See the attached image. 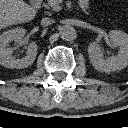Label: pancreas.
I'll return each instance as SVG.
<instances>
[{
	"label": "pancreas",
	"instance_id": "pancreas-1",
	"mask_svg": "<svg viewBox=\"0 0 128 128\" xmlns=\"http://www.w3.org/2000/svg\"><path fill=\"white\" fill-rule=\"evenodd\" d=\"M62 0H48V5L54 10V11H60L61 10V3Z\"/></svg>",
	"mask_w": 128,
	"mask_h": 128
}]
</instances>
